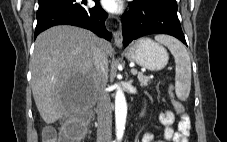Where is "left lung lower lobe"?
<instances>
[{
  "label": "left lung lower lobe",
  "mask_w": 227,
  "mask_h": 142,
  "mask_svg": "<svg viewBox=\"0 0 227 142\" xmlns=\"http://www.w3.org/2000/svg\"><path fill=\"white\" fill-rule=\"evenodd\" d=\"M122 20L125 47L139 37L156 33L174 36L186 44L177 17V4L165 0L130 3L129 10L123 15Z\"/></svg>",
  "instance_id": "obj_1"
}]
</instances>
